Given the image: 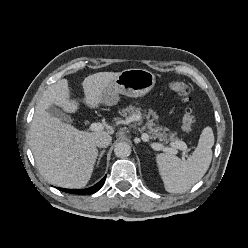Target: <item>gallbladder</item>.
<instances>
[{"instance_id": "gallbladder-1", "label": "gallbladder", "mask_w": 248, "mask_h": 248, "mask_svg": "<svg viewBox=\"0 0 248 248\" xmlns=\"http://www.w3.org/2000/svg\"><path fill=\"white\" fill-rule=\"evenodd\" d=\"M47 111L51 116L56 117L60 119L61 121H66V122L72 121V119L68 115H66L62 110L56 107L51 106L48 108Z\"/></svg>"}]
</instances>
